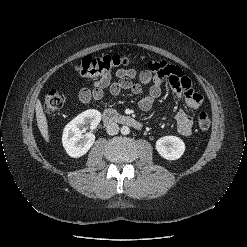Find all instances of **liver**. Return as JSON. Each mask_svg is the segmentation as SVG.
I'll list each match as a JSON object with an SVG mask.
<instances>
[{
	"label": "liver",
	"instance_id": "liver-1",
	"mask_svg": "<svg viewBox=\"0 0 247 247\" xmlns=\"http://www.w3.org/2000/svg\"><path fill=\"white\" fill-rule=\"evenodd\" d=\"M35 111H36L37 125L40 130V133L45 139V141L49 142V131H48L47 118L44 114L42 104L39 100L36 102Z\"/></svg>",
	"mask_w": 247,
	"mask_h": 247
}]
</instances>
